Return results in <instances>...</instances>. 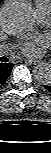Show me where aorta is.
Segmentation results:
<instances>
[{"mask_svg": "<svg viewBox=\"0 0 51 153\" xmlns=\"http://www.w3.org/2000/svg\"><path fill=\"white\" fill-rule=\"evenodd\" d=\"M1 23L4 31L10 35L30 33L35 26V10L26 0H15L1 11ZM36 80L42 84L51 83V65L43 62L34 70Z\"/></svg>", "mask_w": 51, "mask_h": 153, "instance_id": "1", "label": "aorta"}]
</instances>
